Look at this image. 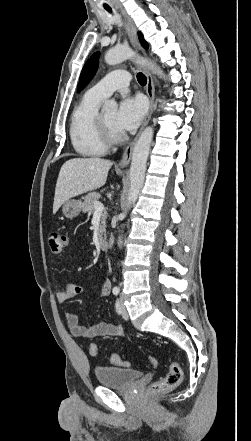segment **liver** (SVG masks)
<instances>
[{"instance_id":"6515ba94","label":"liver","mask_w":251,"mask_h":441,"mask_svg":"<svg viewBox=\"0 0 251 441\" xmlns=\"http://www.w3.org/2000/svg\"><path fill=\"white\" fill-rule=\"evenodd\" d=\"M113 163L101 158H73L59 172L55 188L53 213L68 199L102 187Z\"/></svg>"}]
</instances>
